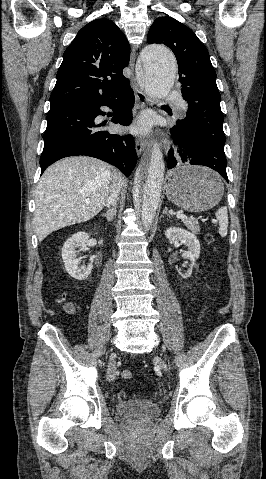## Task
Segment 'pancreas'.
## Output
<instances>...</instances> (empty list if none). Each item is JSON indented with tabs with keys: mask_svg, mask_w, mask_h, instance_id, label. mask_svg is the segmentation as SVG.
<instances>
[{
	"mask_svg": "<svg viewBox=\"0 0 266 479\" xmlns=\"http://www.w3.org/2000/svg\"><path fill=\"white\" fill-rule=\"evenodd\" d=\"M185 226L192 231L193 233L200 232V227L198 226V221L195 218H184L182 219Z\"/></svg>",
	"mask_w": 266,
	"mask_h": 479,
	"instance_id": "cf45deb5",
	"label": "pancreas"
}]
</instances>
